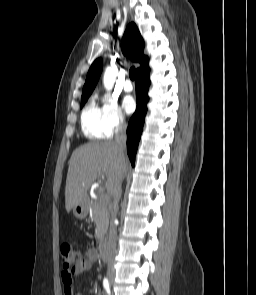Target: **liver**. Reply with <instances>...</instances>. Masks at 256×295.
<instances>
[{"label": "liver", "instance_id": "obj_1", "mask_svg": "<svg viewBox=\"0 0 256 295\" xmlns=\"http://www.w3.org/2000/svg\"><path fill=\"white\" fill-rule=\"evenodd\" d=\"M128 169V161L121 160L115 142H90L77 148L71 155L65 187V207L69 213L78 204L85 203L87 192L96 181L106 177L110 194L119 175Z\"/></svg>", "mask_w": 256, "mask_h": 295}]
</instances>
